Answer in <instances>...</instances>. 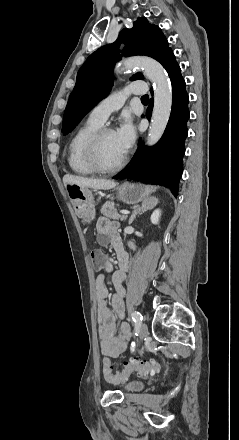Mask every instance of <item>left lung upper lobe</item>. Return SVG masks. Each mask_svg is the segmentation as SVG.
I'll use <instances>...</instances> for the list:
<instances>
[{
    "label": "left lung upper lobe",
    "mask_w": 239,
    "mask_h": 440,
    "mask_svg": "<svg viewBox=\"0 0 239 440\" xmlns=\"http://www.w3.org/2000/svg\"><path fill=\"white\" fill-rule=\"evenodd\" d=\"M121 42L125 45L121 51L125 56L146 55L161 64L171 50L161 29L148 23L145 17H139L133 28L120 32L116 42L92 53L78 71L76 85L70 94L63 118L64 135L110 92L114 81L112 70L115 62L121 59L118 54ZM138 79H144L140 72L131 78Z\"/></svg>",
    "instance_id": "left-lung-upper-lobe-1"
}]
</instances>
